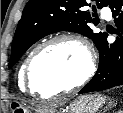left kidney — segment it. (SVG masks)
<instances>
[{
	"mask_svg": "<svg viewBox=\"0 0 123 113\" xmlns=\"http://www.w3.org/2000/svg\"><path fill=\"white\" fill-rule=\"evenodd\" d=\"M118 113H123V111H118Z\"/></svg>",
	"mask_w": 123,
	"mask_h": 113,
	"instance_id": "obj_1",
	"label": "left kidney"
}]
</instances>
